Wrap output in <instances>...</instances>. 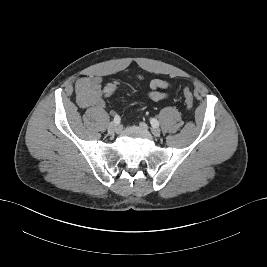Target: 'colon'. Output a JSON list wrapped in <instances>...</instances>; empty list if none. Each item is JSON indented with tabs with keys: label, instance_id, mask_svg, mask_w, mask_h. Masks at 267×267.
Segmentation results:
<instances>
[{
	"label": "colon",
	"instance_id": "1",
	"mask_svg": "<svg viewBox=\"0 0 267 267\" xmlns=\"http://www.w3.org/2000/svg\"><path fill=\"white\" fill-rule=\"evenodd\" d=\"M118 85H119V83H117V82H112V83L108 84L104 88V91H103L104 96L109 97L113 93V91L118 87ZM183 94H184L185 103L187 105V108L192 109L194 99H193V95H192L191 91L188 88H185L183 90Z\"/></svg>",
	"mask_w": 267,
	"mask_h": 267
}]
</instances>
